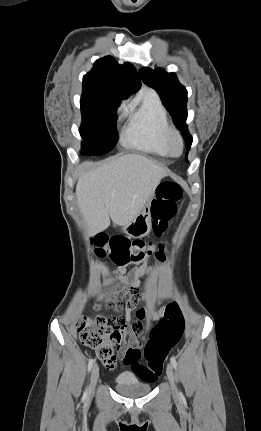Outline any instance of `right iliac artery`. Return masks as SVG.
Wrapping results in <instances>:
<instances>
[{
    "mask_svg": "<svg viewBox=\"0 0 261 431\" xmlns=\"http://www.w3.org/2000/svg\"><path fill=\"white\" fill-rule=\"evenodd\" d=\"M94 362H95V360L93 358L89 360V363H88V372H90V370H91L92 365H93ZM87 396H88V389L86 388V390H85V392L83 394V399H87Z\"/></svg>",
    "mask_w": 261,
    "mask_h": 431,
    "instance_id": "right-iliac-artery-1",
    "label": "right iliac artery"
}]
</instances>
